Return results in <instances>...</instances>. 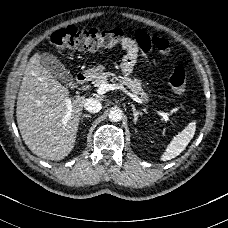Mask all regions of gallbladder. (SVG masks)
I'll return each instance as SVG.
<instances>
[{
	"instance_id": "1",
	"label": "gallbladder",
	"mask_w": 228,
	"mask_h": 228,
	"mask_svg": "<svg viewBox=\"0 0 228 228\" xmlns=\"http://www.w3.org/2000/svg\"><path fill=\"white\" fill-rule=\"evenodd\" d=\"M40 63L61 83L68 86H71L74 83L73 75L56 56L50 53H42L40 54Z\"/></svg>"
}]
</instances>
